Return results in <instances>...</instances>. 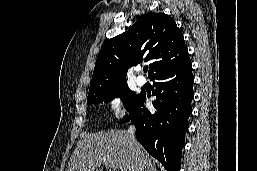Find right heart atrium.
Masks as SVG:
<instances>
[{
	"mask_svg": "<svg viewBox=\"0 0 257 171\" xmlns=\"http://www.w3.org/2000/svg\"><path fill=\"white\" fill-rule=\"evenodd\" d=\"M108 109L112 116L120 117L125 112V104L120 96H113L108 101Z\"/></svg>",
	"mask_w": 257,
	"mask_h": 171,
	"instance_id": "right-heart-atrium-1",
	"label": "right heart atrium"
}]
</instances>
